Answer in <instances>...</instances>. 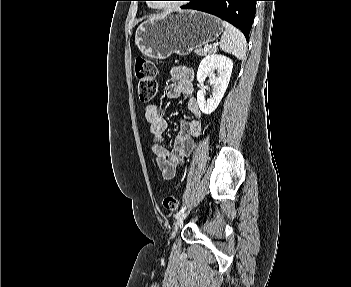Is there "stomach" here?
I'll list each match as a JSON object with an SVG mask.
<instances>
[{"label":"stomach","mask_w":351,"mask_h":287,"mask_svg":"<svg viewBox=\"0 0 351 287\" xmlns=\"http://www.w3.org/2000/svg\"><path fill=\"white\" fill-rule=\"evenodd\" d=\"M223 32L222 22L207 13L171 11L143 22L136 30L135 44L145 56L166 59L181 56L214 41Z\"/></svg>","instance_id":"stomach-1"}]
</instances>
